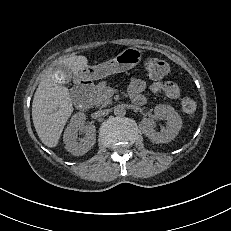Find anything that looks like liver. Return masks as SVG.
<instances>
[{"mask_svg":"<svg viewBox=\"0 0 231 231\" xmlns=\"http://www.w3.org/2000/svg\"><path fill=\"white\" fill-rule=\"evenodd\" d=\"M59 64L78 75L80 70L88 66V60L85 56L73 55ZM72 112L73 105L68 88L58 83L52 71L48 72L40 82L32 103L33 124L44 145L50 148L57 146Z\"/></svg>","mask_w":231,"mask_h":231,"instance_id":"1","label":"liver"}]
</instances>
